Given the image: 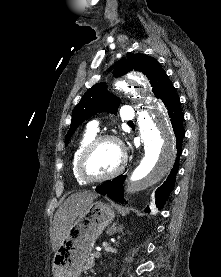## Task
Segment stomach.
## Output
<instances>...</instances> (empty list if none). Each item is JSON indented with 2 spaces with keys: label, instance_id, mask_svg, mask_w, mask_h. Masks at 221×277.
<instances>
[{
  "label": "stomach",
  "instance_id": "1",
  "mask_svg": "<svg viewBox=\"0 0 221 277\" xmlns=\"http://www.w3.org/2000/svg\"><path fill=\"white\" fill-rule=\"evenodd\" d=\"M111 205L96 201L85 208L71 225L67 237L54 254V277H79L90 258L96 239L113 221Z\"/></svg>",
  "mask_w": 221,
  "mask_h": 277
}]
</instances>
